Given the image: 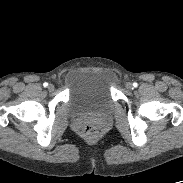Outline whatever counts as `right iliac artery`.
Instances as JSON below:
<instances>
[{
  "label": "right iliac artery",
  "mask_w": 183,
  "mask_h": 183,
  "mask_svg": "<svg viewBox=\"0 0 183 183\" xmlns=\"http://www.w3.org/2000/svg\"><path fill=\"white\" fill-rule=\"evenodd\" d=\"M43 86H44V87H47V86H48V83H47V82H45V83L43 84Z\"/></svg>",
  "instance_id": "right-iliac-artery-1"
}]
</instances>
